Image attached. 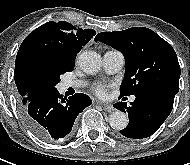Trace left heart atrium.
Here are the masks:
<instances>
[{
	"instance_id": "1",
	"label": "left heart atrium",
	"mask_w": 190,
	"mask_h": 165,
	"mask_svg": "<svg viewBox=\"0 0 190 165\" xmlns=\"http://www.w3.org/2000/svg\"><path fill=\"white\" fill-rule=\"evenodd\" d=\"M107 89H108V86L106 84L99 83V84L95 85L94 92L99 97H105L107 94Z\"/></svg>"
}]
</instances>
